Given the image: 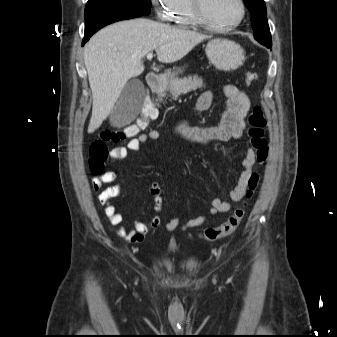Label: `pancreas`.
<instances>
[{
  "mask_svg": "<svg viewBox=\"0 0 337 337\" xmlns=\"http://www.w3.org/2000/svg\"><path fill=\"white\" fill-rule=\"evenodd\" d=\"M201 87H203V80L198 78L197 75H194L193 77L174 78L166 86L156 91L158 95L157 101H162L166 91L170 92L173 98H176L181 94L195 91Z\"/></svg>",
  "mask_w": 337,
  "mask_h": 337,
  "instance_id": "cf45deb5",
  "label": "pancreas"
}]
</instances>
